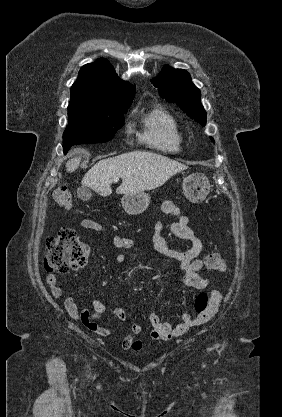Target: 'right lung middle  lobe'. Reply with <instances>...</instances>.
I'll use <instances>...</instances> for the list:
<instances>
[{
  "label": "right lung middle lobe",
  "instance_id": "dd1d6c3e",
  "mask_svg": "<svg viewBox=\"0 0 282 417\" xmlns=\"http://www.w3.org/2000/svg\"><path fill=\"white\" fill-rule=\"evenodd\" d=\"M134 95L71 96L68 126L63 134L65 152L72 145L106 142L124 123Z\"/></svg>",
  "mask_w": 282,
  "mask_h": 417
}]
</instances>
